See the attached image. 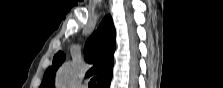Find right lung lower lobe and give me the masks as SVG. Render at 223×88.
Returning <instances> with one entry per match:
<instances>
[{
    "label": "right lung lower lobe",
    "mask_w": 223,
    "mask_h": 88,
    "mask_svg": "<svg viewBox=\"0 0 223 88\" xmlns=\"http://www.w3.org/2000/svg\"><path fill=\"white\" fill-rule=\"evenodd\" d=\"M110 81H111V79L110 80H106L103 83L98 84L97 87L98 88H110Z\"/></svg>",
    "instance_id": "obj_1"
}]
</instances>
